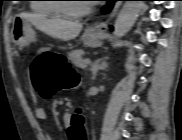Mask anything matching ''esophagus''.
I'll list each match as a JSON object with an SVG mask.
<instances>
[{"label":"esophagus","instance_id":"1","mask_svg":"<svg viewBox=\"0 0 182 140\" xmlns=\"http://www.w3.org/2000/svg\"><path fill=\"white\" fill-rule=\"evenodd\" d=\"M120 5H121V2L118 1L115 3L112 11L110 12V14L108 15V18L107 20L105 21H102V22H99L97 24H95L91 30L95 33H98V34H104L106 33L107 29H108V21L110 19H112L118 12L119 8H120Z\"/></svg>","mask_w":182,"mask_h":140}]
</instances>
